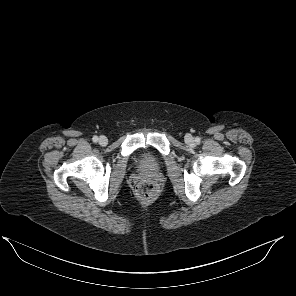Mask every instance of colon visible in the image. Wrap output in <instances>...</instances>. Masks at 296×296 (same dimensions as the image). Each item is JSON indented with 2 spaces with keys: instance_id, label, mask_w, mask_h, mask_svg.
Instances as JSON below:
<instances>
[{
  "instance_id": "obj_1",
  "label": "colon",
  "mask_w": 296,
  "mask_h": 296,
  "mask_svg": "<svg viewBox=\"0 0 296 296\" xmlns=\"http://www.w3.org/2000/svg\"><path fill=\"white\" fill-rule=\"evenodd\" d=\"M157 192V184L150 180L142 181L137 186L138 196L145 201L153 199Z\"/></svg>"
}]
</instances>
